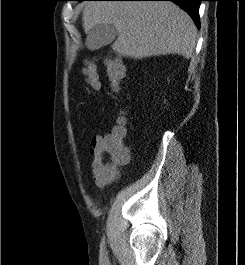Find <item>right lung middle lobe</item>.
<instances>
[{
  "instance_id": "dd1d6c3e",
  "label": "right lung middle lobe",
  "mask_w": 245,
  "mask_h": 265,
  "mask_svg": "<svg viewBox=\"0 0 245 265\" xmlns=\"http://www.w3.org/2000/svg\"><path fill=\"white\" fill-rule=\"evenodd\" d=\"M77 1L81 2V1H84V0H77Z\"/></svg>"
}]
</instances>
